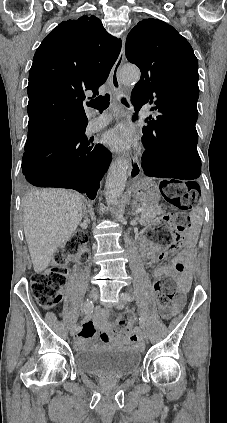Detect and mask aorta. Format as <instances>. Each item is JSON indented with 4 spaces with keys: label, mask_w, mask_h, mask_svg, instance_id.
I'll list each match as a JSON object with an SVG mask.
<instances>
[{
    "label": "aorta",
    "mask_w": 227,
    "mask_h": 423,
    "mask_svg": "<svg viewBox=\"0 0 227 423\" xmlns=\"http://www.w3.org/2000/svg\"><path fill=\"white\" fill-rule=\"evenodd\" d=\"M122 81L126 84L136 83L140 78V71L134 66H125L121 71ZM128 174V162L118 159L109 168L106 184L105 198L109 206H116L123 194Z\"/></svg>",
    "instance_id": "obj_1"
}]
</instances>
